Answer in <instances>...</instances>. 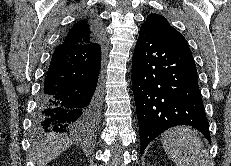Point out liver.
I'll use <instances>...</instances> for the list:
<instances>
[{"instance_id": "obj_1", "label": "liver", "mask_w": 231, "mask_h": 166, "mask_svg": "<svg viewBox=\"0 0 231 166\" xmlns=\"http://www.w3.org/2000/svg\"><path fill=\"white\" fill-rule=\"evenodd\" d=\"M38 166H45L71 145L69 140L49 135L34 142Z\"/></svg>"}]
</instances>
